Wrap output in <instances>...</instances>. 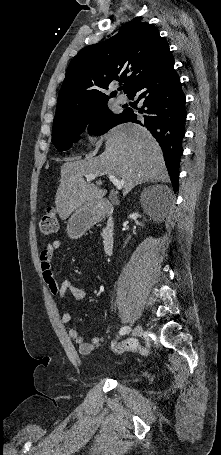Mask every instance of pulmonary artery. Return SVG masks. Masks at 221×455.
<instances>
[{"mask_svg": "<svg viewBox=\"0 0 221 455\" xmlns=\"http://www.w3.org/2000/svg\"><path fill=\"white\" fill-rule=\"evenodd\" d=\"M118 101H119L120 103H126V102L128 101V98H127V96H125V95H119V96H118Z\"/></svg>", "mask_w": 221, "mask_h": 455, "instance_id": "1", "label": "pulmonary artery"}]
</instances>
